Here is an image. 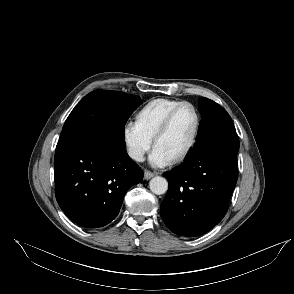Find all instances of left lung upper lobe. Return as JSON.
Returning <instances> with one entry per match:
<instances>
[{"label": "left lung upper lobe", "mask_w": 294, "mask_h": 294, "mask_svg": "<svg viewBox=\"0 0 294 294\" xmlns=\"http://www.w3.org/2000/svg\"><path fill=\"white\" fill-rule=\"evenodd\" d=\"M199 111L202 120L199 125L196 141L223 131H236L227 111L216 102L201 97Z\"/></svg>", "instance_id": "5c2ea615"}]
</instances>
